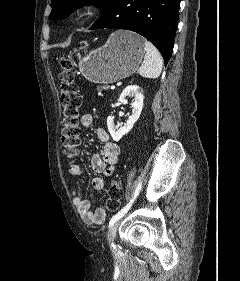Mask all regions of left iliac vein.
I'll return each instance as SVG.
<instances>
[{
  "instance_id": "left-iliac-vein-1",
  "label": "left iliac vein",
  "mask_w": 240,
  "mask_h": 281,
  "mask_svg": "<svg viewBox=\"0 0 240 281\" xmlns=\"http://www.w3.org/2000/svg\"><path fill=\"white\" fill-rule=\"evenodd\" d=\"M119 224H120V220L116 221L114 223V225L111 227L110 232L108 234V241H109L111 247H113V245H114V241H115V237H116V233H117Z\"/></svg>"
}]
</instances>
